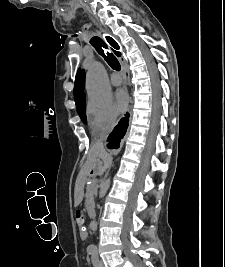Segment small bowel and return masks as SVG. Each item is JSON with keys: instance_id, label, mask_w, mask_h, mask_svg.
Listing matches in <instances>:
<instances>
[{"instance_id": "c3829d8e", "label": "small bowel", "mask_w": 225, "mask_h": 267, "mask_svg": "<svg viewBox=\"0 0 225 267\" xmlns=\"http://www.w3.org/2000/svg\"><path fill=\"white\" fill-rule=\"evenodd\" d=\"M81 236H85V234L84 233H81Z\"/></svg>"}]
</instances>
